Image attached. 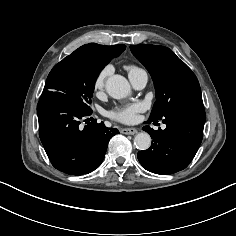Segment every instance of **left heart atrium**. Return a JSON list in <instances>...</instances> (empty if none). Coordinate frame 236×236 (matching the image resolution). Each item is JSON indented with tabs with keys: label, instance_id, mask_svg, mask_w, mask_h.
<instances>
[{
	"label": "left heart atrium",
	"instance_id": "1",
	"mask_svg": "<svg viewBox=\"0 0 236 236\" xmlns=\"http://www.w3.org/2000/svg\"><path fill=\"white\" fill-rule=\"evenodd\" d=\"M145 106L142 102H135L128 105H119L114 107L109 116L112 119L123 123H133L137 120L138 114L144 110Z\"/></svg>",
	"mask_w": 236,
	"mask_h": 236
}]
</instances>
